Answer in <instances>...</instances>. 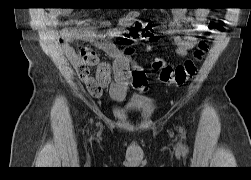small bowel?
<instances>
[{"mask_svg":"<svg viewBox=\"0 0 251 180\" xmlns=\"http://www.w3.org/2000/svg\"><path fill=\"white\" fill-rule=\"evenodd\" d=\"M68 13V10H52L47 13L50 26L58 24V18ZM209 14L206 8H199L194 13H188L183 8L173 10L172 20L164 31L173 36L176 53L185 57L197 43L195 31L204 29V23ZM139 17L137 11H130L121 17L114 27L108 20L100 21L103 30H95L88 20L77 21L72 27L60 31V40L66 54L74 61L80 79L86 85L91 95L100 97L104 89H108L115 101H123L131 87L140 92L147 89V79L141 68L135 66L130 58L120 50L112 39L119 37L124 29L132 25ZM190 24L193 29L185 28ZM80 40L91 43L113 58V63L100 62L97 54L91 49H83L78 55L71 42ZM96 67L95 76L90 74V68Z\"/></svg>","mask_w":251,"mask_h":180,"instance_id":"obj_1","label":"small bowel"}]
</instances>
